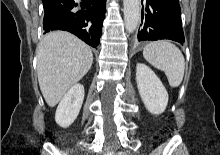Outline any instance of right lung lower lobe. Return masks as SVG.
I'll use <instances>...</instances> for the list:
<instances>
[{"label": "right lung lower lobe", "instance_id": "right-lung-lower-lobe-1", "mask_svg": "<svg viewBox=\"0 0 220 155\" xmlns=\"http://www.w3.org/2000/svg\"><path fill=\"white\" fill-rule=\"evenodd\" d=\"M106 0H82L77 7L74 0H43L45 32L65 30L92 47H97L102 34Z\"/></svg>", "mask_w": 220, "mask_h": 155}]
</instances>
